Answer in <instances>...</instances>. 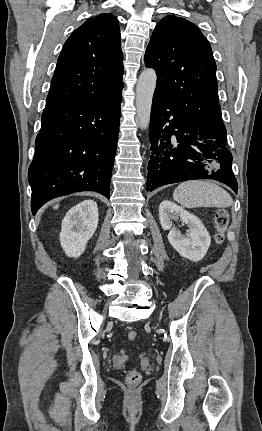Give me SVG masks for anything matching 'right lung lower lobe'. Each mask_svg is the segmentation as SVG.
<instances>
[{
  "mask_svg": "<svg viewBox=\"0 0 262 431\" xmlns=\"http://www.w3.org/2000/svg\"><path fill=\"white\" fill-rule=\"evenodd\" d=\"M121 98L46 105L28 172L33 215L47 201L74 192L96 191L109 199Z\"/></svg>",
  "mask_w": 262,
  "mask_h": 431,
  "instance_id": "right-lung-lower-lobe-1",
  "label": "right lung lower lobe"
}]
</instances>
